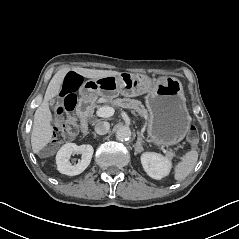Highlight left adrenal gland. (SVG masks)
I'll return each mask as SVG.
<instances>
[{
  "instance_id": "1",
  "label": "left adrenal gland",
  "mask_w": 239,
  "mask_h": 239,
  "mask_svg": "<svg viewBox=\"0 0 239 239\" xmlns=\"http://www.w3.org/2000/svg\"><path fill=\"white\" fill-rule=\"evenodd\" d=\"M137 135H138V138H137V142L135 144L136 150H138L141 147V144L144 142L142 137L140 136L139 131H137Z\"/></svg>"
}]
</instances>
